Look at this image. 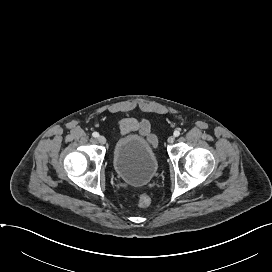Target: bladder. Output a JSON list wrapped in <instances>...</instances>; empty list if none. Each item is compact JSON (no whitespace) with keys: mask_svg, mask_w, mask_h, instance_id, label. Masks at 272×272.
Segmentation results:
<instances>
[{"mask_svg":"<svg viewBox=\"0 0 272 272\" xmlns=\"http://www.w3.org/2000/svg\"><path fill=\"white\" fill-rule=\"evenodd\" d=\"M112 163L117 176L134 186L149 183L159 166L153 147L135 134L126 135L116 142Z\"/></svg>","mask_w":272,"mask_h":272,"instance_id":"bladder-1","label":"bladder"}]
</instances>
